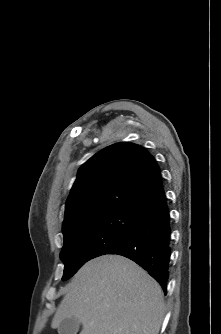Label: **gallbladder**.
Listing matches in <instances>:
<instances>
[{
  "instance_id": "bac80fb5",
  "label": "gallbladder",
  "mask_w": 221,
  "mask_h": 334,
  "mask_svg": "<svg viewBox=\"0 0 221 334\" xmlns=\"http://www.w3.org/2000/svg\"><path fill=\"white\" fill-rule=\"evenodd\" d=\"M80 328V321L74 317L64 319L59 327V334H77Z\"/></svg>"
}]
</instances>
